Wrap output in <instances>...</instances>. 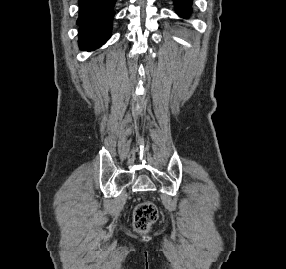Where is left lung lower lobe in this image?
<instances>
[{
	"label": "left lung lower lobe",
	"mask_w": 286,
	"mask_h": 269,
	"mask_svg": "<svg viewBox=\"0 0 286 269\" xmlns=\"http://www.w3.org/2000/svg\"><path fill=\"white\" fill-rule=\"evenodd\" d=\"M192 0H174L176 12L181 17H187L190 13Z\"/></svg>",
	"instance_id": "left-lung-lower-lobe-1"
}]
</instances>
